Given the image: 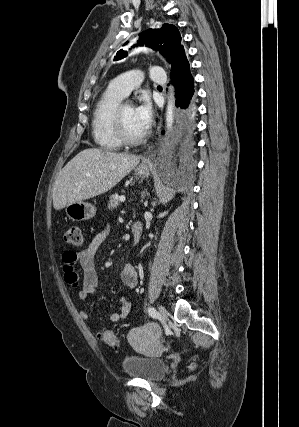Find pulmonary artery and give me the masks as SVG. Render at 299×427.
<instances>
[{
	"label": "pulmonary artery",
	"instance_id": "pulmonary-artery-1",
	"mask_svg": "<svg viewBox=\"0 0 299 427\" xmlns=\"http://www.w3.org/2000/svg\"><path fill=\"white\" fill-rule=\"evenodd\" d=\"M150 76L155 82L165 83V71L160 66H154L151 69ZM142 80V72L138 70H132L118 75L111 82L110 86L123 97H126L134 88L138 87L142 83Z\"/></svg>",
	"mask_w": 299,
	"mask_h": 427
}]
</instances>
